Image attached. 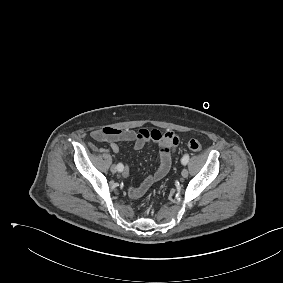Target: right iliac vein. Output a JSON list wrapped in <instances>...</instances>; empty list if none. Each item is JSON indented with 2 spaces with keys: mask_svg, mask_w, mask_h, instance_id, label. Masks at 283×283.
Returning a JSON list of instances; mask_svg holds the SVG:
<instances>
[{
  "mask_svg": "<svg viewBox=\"0 0 283 283\" xmlns=\"http://www.w3.org/2000/svg\"><path fill=\"white\" fill-rule=\"evenodd\" d=\"M110 170H111L112 173H116L118 171V168H117L116 165H112Z\"/></svg>",
  "mask_w": 283,
  "mask_h": 283,
  "instance_id": "1",
  "label": "right iliac vein"
}]
</instances>
